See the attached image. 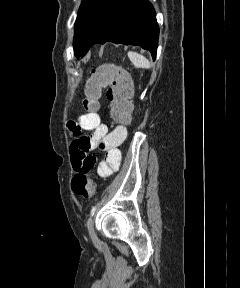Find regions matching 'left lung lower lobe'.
Here are the masks:
<instances>
[{
    "label": "left lung lower lobe",
    "mask_w": 240,
    "mask_h": 288,
    "mask_svg": "<svg viewBox=\"0 0 240 288\" xmlns=\"http://www.w3.org/2000/svg\"><path fill=\"white\" fill-rule=\"evenodd\" d=\"M158 36L156 14L147 0H109L95 29L75 56H83L96 43L111 41L139 45L155 59Z\"/></svg>",
    "instance_id": "obj_1"
}]
</instances>
